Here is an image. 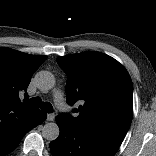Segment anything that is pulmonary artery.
Returning <instances> with one entry per match:
<instances>
[{
    "label": "pulmonary artery",
    "instance_id": "e3ab8cb5",
    "mask_svg": "<svg viewBox=\"0 0 156 156\" xmlns=\"http://www.w3.org/2000/svg\"><path fill=\"white\" fill-rule=\"evenodd\" d=\"M54 102L56 104V106L61 109V110H64L67 108V105L64 101V98L62 97V94L61 93H56L55 96H54Z\"/></svg>",
    "mask_w": 156,
    "mask_h": 156
}]
</instances>
